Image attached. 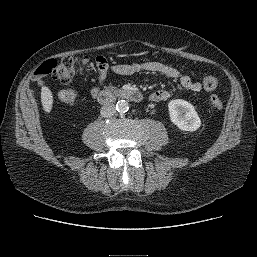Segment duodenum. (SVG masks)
Returning a JSON list of instances; mask_svg holds the SVG:
<instances>
[{
  "mask_svg": "<svg viewBox=\"0 0 257 257\" xmlns=\"http://www.w3.org/2000/svg\"><path fill=\"white\" fill-rule=\"evenodd\" d=\"M116 99H127L135 103L142 101L143 96L141 92L135 89H121V90H105L97 94V100L100 104H108Z\"/></svg>",
  "mask_w": 257,
  "mask_h": 257,
  "instance_id": "410a0bca",
  "label": "duodenum"
}]
</instances>
